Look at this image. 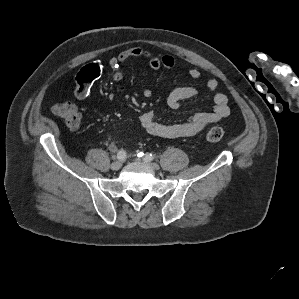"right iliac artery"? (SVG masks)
Masks as SVG:
<instances>
[{
    "instance_id": "1",
    "label": "right iliac artery",
    "mask_w": 299,
    "mask_h": 299,
    "mask_svg": "<svg viewBox=\"0 0 299 299\" xmlns=\"http://www.w3.org/2000/svg\"><path fill=\"white\" fill-rule=\"evenodd\" d=\"M126 158V152L124 150H120L117 153V159L118 160H124Z\"/></svg>"
}]
</instances>
